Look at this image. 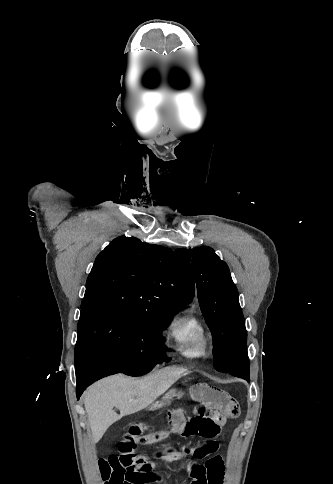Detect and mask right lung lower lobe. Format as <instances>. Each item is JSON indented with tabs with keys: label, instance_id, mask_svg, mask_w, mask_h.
<instances>
[{
	"label": "right lung lower lobe",
	"instance_id": "obj_1",
	"mask_svg": "<svg viewBox=\"0 0 333 484\" xmlns=\"http://www.w3.org/2000/svg\"><path fill=\"white\" fill-rule=\"evenodd\" d=\"M75 371L77 382L76 393L79 399L87 386L104 376L120 372V369L106 356L92 351L89 358L79 367L75 368Z\"/></svg>",
	"mask_w": 333,
	"mask_h": 484
}]
</instances>
